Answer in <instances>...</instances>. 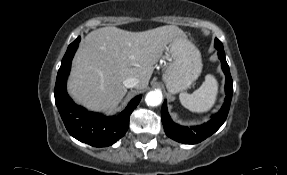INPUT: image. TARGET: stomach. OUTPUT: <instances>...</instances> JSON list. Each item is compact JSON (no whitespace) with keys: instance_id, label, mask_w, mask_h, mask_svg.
<instances>
[{"instance_id":"obj_1","label":"stomach","mask_w":287,"mask_h":175,"mask_svg":"<svg viewBox=\"0 0 287 175\" xmlns=\"http://www.w3.org/2000/svg\"><path fill=\"white\" fill-rule=\"evenodd\" d=\"M167 50L171 62L162 79L168 91L176 94L189 88L199 77L202 71L201 54L186 35L174 38Z\"/></svg>"}]
</instances>
